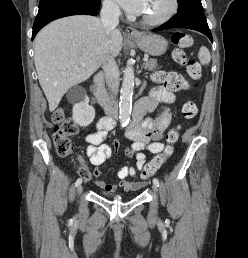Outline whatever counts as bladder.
Wrapping results in <instances>:
<instances>
[{"label":"bladder","instance_id":"bladder-1","mask_svg":"<svg viewBox=\"0 0 248 258\" xmlns=\"http://www.w3.org/2000/svg\"><path fill=\"white\" fill-rule=\"evenodd\" d=\"M107 195L111 197L118 196V194H114V193H108Z\"/></svg>","mask_w":248,"mask_h":258}]
</instances>
